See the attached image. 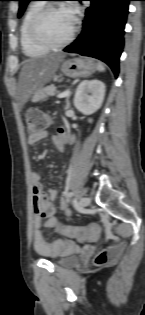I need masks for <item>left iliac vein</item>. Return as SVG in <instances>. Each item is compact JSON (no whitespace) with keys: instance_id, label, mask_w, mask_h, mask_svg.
<instances>
[{"instance_id":"1","label":"left iliac vein","mask_w":145,"mask_h":315,"mask_svg":"<svg viewBox=\"0 0 145 315\" xmlns=\"http://www.w3.org/2000/svg\"><path fill=\"white\" fill-rule=\"evenodd\" d=\"M79 204L82 208H86L90 204V199L88 197H82L79 201Z\"/></svg>"}]
</instances>
